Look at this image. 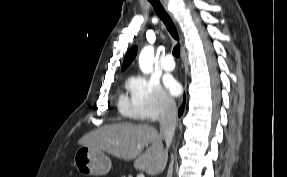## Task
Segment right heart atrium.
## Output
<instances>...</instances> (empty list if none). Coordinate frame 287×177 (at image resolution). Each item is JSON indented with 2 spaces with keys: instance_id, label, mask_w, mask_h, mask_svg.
Returning a JSON list of instances; mask_svg holds the SVG:
<instances>
[{
  "instance_id": "obj_1",
  "label": "right heart atrium",
  "mask_w": 287,
  "mask_h": 177,
  "mask_svg": "<svg viewBox=\"0 0 287 177\" xmlns=\"http://www.w3.org/2000/svg\"><path fill=\"white\" fill-rule=\"evenodd\" d=\"M129 89L134 105V116L142 122H154L174 110V101L154 77H137Z\"/></svg>"
}]
</instances>
